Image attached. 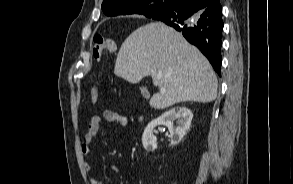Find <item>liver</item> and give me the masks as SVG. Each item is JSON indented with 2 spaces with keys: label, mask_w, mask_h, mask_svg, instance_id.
<instances>
[{
  "label": "liver",
  "mask_w": 293,
  "mask_h": 184,
  "mask_svg": "<svg viewBox=\"0 0 293 184\" xmlns=\"http://www.w3.org/2000/svg\"><path fill=\"white\" fill-rule=\"evenodd\" d=\"M114 73L130 83L151 76L155 86L166 90L150 99L156 109L186 101L211 102L217 96V77L206 57L161 22L141 26L125 39Z\"/></svg>",
  "instance_id": "6515ba94"
}]
</instances>
